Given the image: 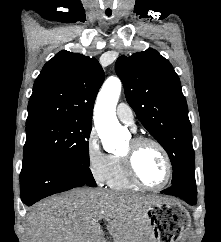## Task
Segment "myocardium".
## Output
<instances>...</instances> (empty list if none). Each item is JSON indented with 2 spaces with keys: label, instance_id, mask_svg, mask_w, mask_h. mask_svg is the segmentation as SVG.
I'll use <instances>...</instances> for the list:
<instances>
[{
  "label": "myocardium",
  "instance_id": "f54148a6",
  "mask_svg": "<svg viewBox=\"0 0 221 242\" xmlns=\"http://www.w3.org/2000/svg\"><path fill=\"white\" fill-rule=\"evenodd\" d=\"M151 144L159 149L162 153L165 163H166V177L164 181L158 185H148L146 184L141 177L139 176L136 164L135 157L137 151L144 145ZM121 157L124 162L126 172L130 179L139 187L147 190H160L163 189L171 180L173 174V165L169 153L166 148L156 139L146 136H138L131 140V148L121 154Z\"/></svg>",
  "mask_w": 221,
  "mask_h": 242
}]
</instances>
